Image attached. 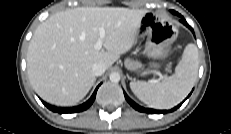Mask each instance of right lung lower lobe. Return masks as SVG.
<instances>
[{"label":"right lung lower lobe","instance_id":"1","mask_svg":"<svg viewBox=\"0 0 231 134\" xmlns=\"http://www.w3.org/2000/svg\"><path fill=\"white\" fill-rule=\"evenodd\" d=\"M99 86L95 89L93 95L91 96V98L87 102H85V103H83V104H81L79 106H76V107H72V108H57V107L51 106V105H49V104H47V103H45L43 101L42 102H43V104L48 109H50V110H52L54 112H58L60 114H62V113H74V112L84 111L87 108H89L91 106V104L94 102L95 97H96V92H97V89L99 88Z\"/></svg>","mask_w":231,"mask_h":134}]
</instances>
